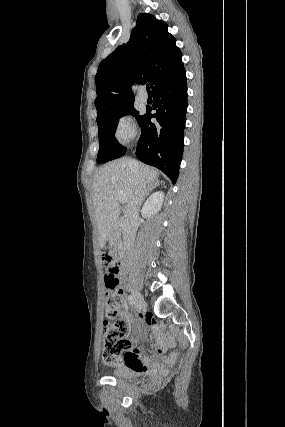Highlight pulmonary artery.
I'll list each match as a JSON object with an SVG mask.
<instances>
[{"label":"pulmonary artery","mask_w":285,"mask_h":427,"mask_svg":"<svg viewBox=\"0 0 285 427\" xmlns=\"http://www.w3.org/2000/svg\"><path fill=\"white\" fill-rule=\"evenodd\" d=\"M137 96L141 102H146L148 100V95L144 88L139 89Z\"/></svg>","instance_id":"e3ab8cb5"}]
</instances>
